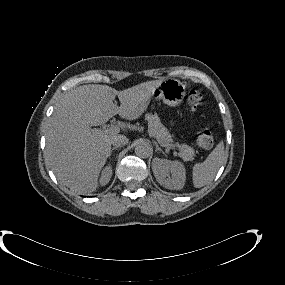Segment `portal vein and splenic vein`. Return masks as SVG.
<instances>
[{
    "label": "portal vein and splenic vein",
    "instance_id": "1",
    "mask_svg": "<svg viewBox=\"0 0 285 285\" xmlns=\"http://www.w3.org/2000/svg\"><path fill=\"white\" fill-rule=\"evenodd\" d=\"M104 132H110V133H118L120 131L119 127L117 125H112L110 127H104L103 128ZM159 144L163 147H166L168 149H173L174 147L166 142H163L161 140H157Z\"/></svg>",
    "mask_w": 285,
    "mask_h": 285
}]
</instances>
